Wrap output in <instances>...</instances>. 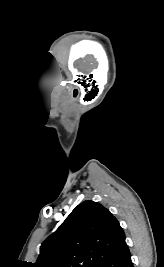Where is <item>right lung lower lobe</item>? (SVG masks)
Returning <instances> with one entry per match:
<instances>
[{
    "label": "right lung lower lobe",
    "mask_w": 164,
    "mask_h": 267,
    "mask_svg": "<svg viewBox=\"0 0 164 267\" xmlns=\"http://www.w3.org/2000/svg\"><path fill=\"white\" fill-rule=\"evenodd\" d=\"M99 267H133L127 245L106 259Z\"/></svg>",
    "instance_id": "1"
}]
</instances>
